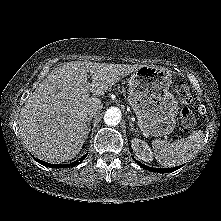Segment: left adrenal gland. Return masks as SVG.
Listing matches in <instances>:
<instances>
[{
    "label": "left adrenal gland",
    "mask_w": 221,
    "mask_h": 221,
    "mask_svg": "<svg viewBox=\"0 0 221 221\" xmlns=\"http://www.w3.org/2000/svg\"><path fill=\"white\" fill-rule=\"evenodd\" d=\"M128 119H129V125H130V127H131V131L137 132L136 129L134 128V124L132 123V121H131V119L129 118V116H128Z\"/></svg>",
    "instance_id": "1"
}]
</instances>
